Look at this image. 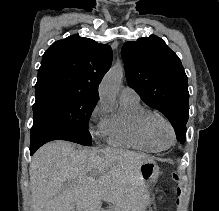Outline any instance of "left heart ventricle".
I'll return each mask as SVG.
<instances>
[{"instance_id":"obj_1","label":"left heart ventricle","mask_w":219,"mask_h":211,"mask_svg":"<svg viewBox=\"0 0 219 211\" xmlns=\"http://www.w3.org/2000/svg\"><path fill=\"white\" fill-rule=\"evenodd\" d=\"M156 135L162 145H168L172 141L171 131L164 123H159L156 127Z\"/></svg>"}]
</instances>
